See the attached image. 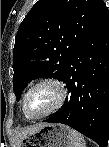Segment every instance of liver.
<instances>
[{
	"mask_svg": "<svg viewBox=\"0 0 109 147\" xmlns=\"http://www.w3.org/2000/svg\"><path fill=\"white\" fill-rule=\"evenodd\" d=\"M45 125H47V124L40 123V124H36V125L30 126L27 128L20 129L15 136V140L17 141L16 146H20V142L23 138L35 133L36 131H38L39 129H41Z\"/></svg>",
	"mask_w": 109,
	"mask_h": 147,
	"instance_id": "liver-1",
	"label": "liver"
}]
</instances>
